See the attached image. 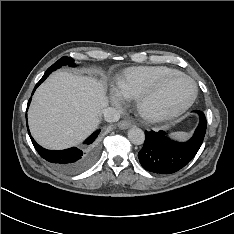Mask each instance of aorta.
I'll return each instance as SVG.
<instances>
[{"mask_svg": "<svg viewBox=\"0 0 234 234\" xmlns=\"http://www.w3.org/2000/svg\"><path fill=\"white\" fill-rule=\"evenodd\" d=\"M128 139L134 145H141L144 143L145 134L143 130L138 127H132L128 130Z\"/></svg>", "mask_w": 234, "mask_h": 234, "instance_id": "1", "label": "aorta"}]
</instances>
